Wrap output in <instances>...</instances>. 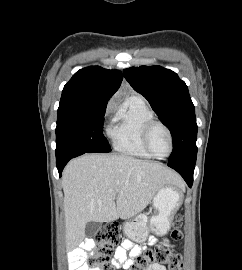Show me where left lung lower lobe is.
I'll use <instances>...</instances> for the list:
<instances>
[{"mask_svg": "<svg viewBox=\"0 0 242 270\" xmlns=\"http://www.w3.org/2000/svg\"><path fill=\"white\" fill-rule=\"evenodd\" d=\"M168 166L176 170L186 181L189 187L192 186L193 183V172L195 167L194 163H186V164H171L168 163Z\"/></svg>", "mask_w": 242, "mask_h": 270, "instance_id": "1", "label": "left lung lower lobe"}]
</instances>
